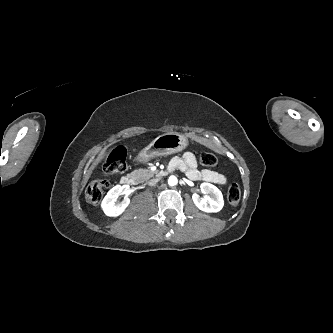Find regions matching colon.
I'll list each match as a JSON object with an SVG mask.
<instances>
[{"label":"colon","instance_id":"5ec220e1","mask_svg":"<svg viewBox=\"0 0 333 333\" xmlns=\"http://www.w3.org/2000/svg\"><path fill=\"white\" fill-rule=\"evenodd\" d=\"M126 149L117 147L109 155L104 164V171L107 174H116L125 170ZM200 162L208 168H219L216 156L210 152H202L200 154ZM108 188V183L104 180H96L91 182L86 189V199L92 205H97L105 191ZM241 191L236 183H232L227 188L226 199L230 206H236L240 200Z\"/></svg>","mask_w":333,"mask_h":333}]
</instances>
